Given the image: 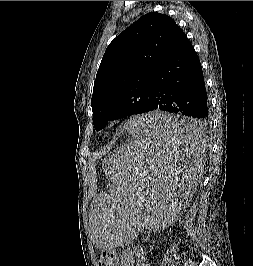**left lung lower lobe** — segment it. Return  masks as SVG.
<instances>
[{
    "instance_id": "left-lung-lower-lobe-1",
    "label": "left lung lower lobe",
    "mask_w": 253,
    "mask_h": 266,
    "mask_svg": "<svg viewBox=\"0 0 253 266\" xmlns=\"http://www.w3.org/2000/svg\"><path fill=\"white\" fill-rule=\"evenodd\" d=\"M162 110L193 118L192 122L157 125L159 134L198 138L209 126V110L200 60L183 31L176 27L160 56L146 112Z\"/></svg>"
}]
</instances>
